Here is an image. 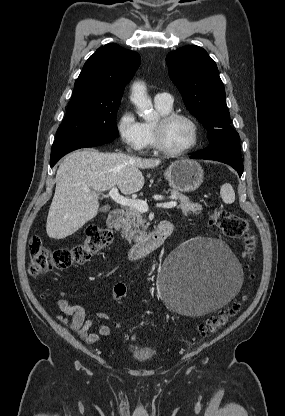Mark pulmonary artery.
<instances>
[{
	"instance_id": "obj_1",
	"label": "pulmonary artery",
	"mask_w": 285,
	"mask_h": 416,
	"mask_svg": "<svg viewBox=\"0 0 285 416\" xmlns=\"http://www.w3.org/2000/svg\"><path fill=\"white\" fill-rule=\"evenodd\" d=\"M154 100H155L156 103L164 105V106L169 107V108H171L172 105H173V98L167 92H158L155 95Z\"/></svg>"
}]
</instances>
